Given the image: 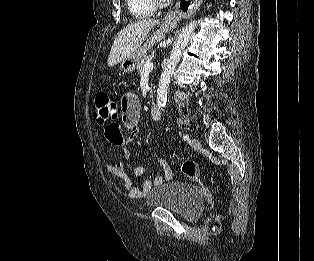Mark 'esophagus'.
<instances>
[{"label": "esophagus", "mask_w": 314, "mask_h": 261, "mask_svg": "<svg viewBox=\"0 0 314 261\" xmlns=\"http://www.w3.org/2000/svg\"><path fill=\"white\" fill-rule=\"evenodd\" d=\"M188 1V0H187ZM194 1V0H193ZM202 3V0H195L193 4H187V9L186 11H183L182 8L177 7L174 15L177 14L179 16H190L191 14H193L200 6V4Z\"/></svg>", "instance_id": "1"}]
</instances>
